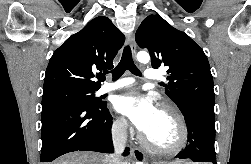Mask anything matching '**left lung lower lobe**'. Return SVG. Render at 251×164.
Wrapping results in <instances>:
<instances>
[{
    "instance_id": "0a47b994",
    "label": "left lung lower lobe",
    "mask_w": 251,
    "mask_h": 164,
    "mask_svg": "<svg viewBox=\"0 0 251 164\" xmlns=\"http://www.w3.org/2000/svg\"><path fill=\"white\" fill-rule=\"evenodd\" d=\"M182 114L188 129V144L177 157L194 162L216 164L214 108L191 106L186 108Z\"/></svg>"
}]
</instances>
